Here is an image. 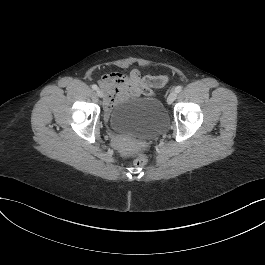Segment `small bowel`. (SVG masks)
Masks as SVG:
<instances>
[{
  "label": "small bowel",
  "mask_w": 265,
  "mask_h": 265,
  "mask_svg": "<svg viewBox=\"0 0 265 265\" xmlns=\"http://www.w3.org/2000/svg\"><path fill=\"white\" fill-rule=\"evenodd\" d=\"M120 66L125 62L120 61ZM167 82L165 76H143L139 70L132 69L128 73L113 72L105 74L99 84L105 92L104 105L107 112L117 103L130 97L150 96L153 89Z\"/></svg>",
  "instance_id": "1"
}]
</instances>
